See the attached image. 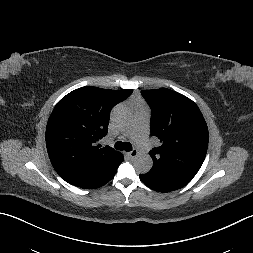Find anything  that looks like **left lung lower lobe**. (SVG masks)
Here are the masks:
<instances>
[{
    "label": "left lung lower lobe",
    "instance_id": "1",
    "mask_svg": "<svg viewBox=\"0 0 253 253\" xmlns=\"http://www.w3.org/2000/svg\"><path fill=\"white\" fill-rule=\"evenodd\" d=\"M140 179L148 187L160 192H170L173 190H177L179 188L184 187L187 183L191 181L180 176L154 171H150L147 174L140 175Z\"/></svg>",
    "mask_w": 253,
    "mask_h": 253
}]
</instances>
